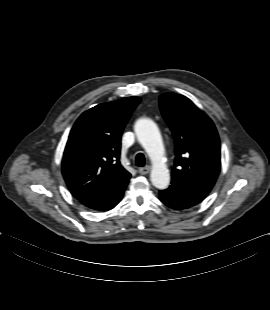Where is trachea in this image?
I'll list each match as a JSON object with an SVG mask.
<instances>
[{"label":"trachea","mask_w":270,"mask_h":310,"mask_svg":"<svg viewBox=\"0 0 270 310\" xmlns=\"http://www.w3.org/2000/svg\"><path fill=\"white\" fill-rule=\"evenodd\" d=\"M135 165L143 167L145 165V156L142 153H138L135 157Z\"/></svg>","instance_id":"3493384b"}]
</instances>
